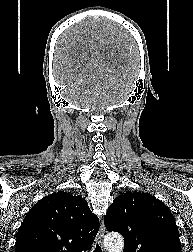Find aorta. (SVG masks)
Listing matches in <instances>:
<instances>
[{"mask_svg":"<svg viewBox=\"0 0 193 252\" xmlns=\"http://www.w3.org/2000/svg\"><path fill=\"white\" fill-rule=\"evenodd\" d=\"M104 244L108 252H122L124 240L119 234H109L105 237Z\"/></svg>","mask_w":193,"mask_h":252,"instance_id":"1","label":"aorta"}]
</instances>
